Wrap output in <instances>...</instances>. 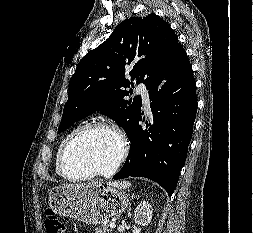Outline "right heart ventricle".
<instances>
[{"mask_svg": "<svg viewBox=\"0 0 253 233\" xmlns=\"http://www.w3.org/2000/svg\"><path fill=\"white\" fill-rule=\"evenodd\" d=\"M79 129L76 128L74 130H72L71 132H69L65 137L64 139L61 141V143L59 144L58 148H57V151H56V156H55V170H56V173L58 175H61V172H60V165H59V162H60V156H61V152L66 144V142L68 141V139Z\"/></svg>", "mask_w": 253, "mask_h": 233, "instance_id": "obj_1", "label": "right heart ventricle"}]
</instances>
